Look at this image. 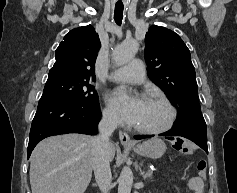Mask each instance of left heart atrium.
I'll return each instance as SVG.
<instances>
[{
    "label": "left heart atrium",
    "mask_w": 237,
    "mask_h": 193,
    "mask_svg": "<svg viewBox=\"0 0 237 193\" xmlns=\"http://www.w3.org/2000/svg\"><path fill=\"white\" fill-rule=\"evenodd\" d=\"M110 103L122 114L124 119L134 124L144 101L132 95L126 87H118L109 96Z\"/></svg>",
    "instance_id": "left-heart-atrium-1"
}]
</instances>
